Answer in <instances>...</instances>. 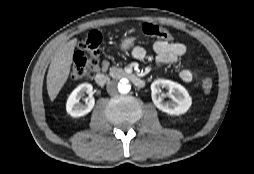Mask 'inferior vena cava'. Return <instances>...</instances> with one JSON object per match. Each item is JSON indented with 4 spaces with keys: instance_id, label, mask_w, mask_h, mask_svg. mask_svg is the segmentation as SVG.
<instances>
[{
    "instance_id": "1",
    "label": "inferior vena cava",
    "mask_w": 254,
    "mask_h": 174,
    "mask_svg": "<svg viewBox=\"0 0 254 174\" xmlns=\"http://www.w3.org/2000/svg\"><path fill=\"white\" fill-rule=\"evenodd\" d=\"M106 88H107V92L110 95L117 94V84H116V82L112 81V82L108 83Z\"/></svg>"
}]
</instances>
